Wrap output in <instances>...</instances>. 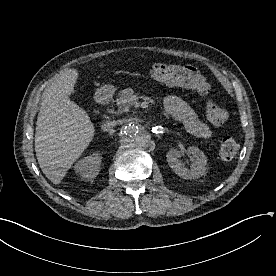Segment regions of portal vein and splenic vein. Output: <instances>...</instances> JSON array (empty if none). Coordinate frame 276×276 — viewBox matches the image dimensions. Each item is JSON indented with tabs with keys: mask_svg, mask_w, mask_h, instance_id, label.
<instances>
[{
	"mask_svg": "<svg viewBox=\"0 0 276 276\" xmlns=\"http://www.w3.org/2000/svg\"><path fill=\"white\" fill-rule=\"evenodd\" d=\"M134 100H136V97L133 96L130 101H132V104L134 103Z\"/></svg>",
	"mask_w": 276,
	"mask_h": 276,
	"instance_id": "18ae733b",
	"label": "portal vein and splenic vein"
}]
</instances>
